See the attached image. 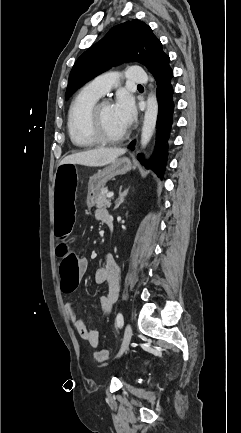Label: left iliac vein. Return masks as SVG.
<instances>
[{
	"label": "left iliac vein",
	"mask_w": 241,
	"mask_h": 433,
	"mask_svg": "<svg viewBox=\"0 0 241 433\" xmlns=\"http://www.w3.org/2000/svg\"><path fill=\"white\" fill-rule=\"evenodd\" d=\"M131 337H132V328L130 324H127L125 327L123 342L120 351L118 353V357H120L129 348Z\"/></svg>",
	"instance_id": "1"
}]
</instances>
